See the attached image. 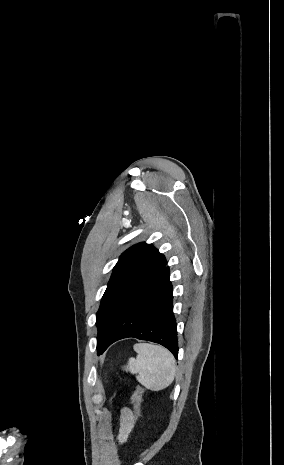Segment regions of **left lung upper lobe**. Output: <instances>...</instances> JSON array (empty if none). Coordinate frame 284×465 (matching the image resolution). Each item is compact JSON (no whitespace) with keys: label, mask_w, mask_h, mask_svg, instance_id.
<instances>
[{"label":"left lung upper lobe","mask_w":284,"mask_h":465,"mask_svg":"<svg viewBox=\"0 0 284 465\" xmlns=\"http://www.w3.org/2000/svg\"><path fill=\"white\" fill-rule=\"evenodd\" d=\"M167 260L151 244L138 243L119 257L96 314L97 352L124 306L164 269Z\"/></svg>","instance_id":"5c2ea615"}]
</instances>
